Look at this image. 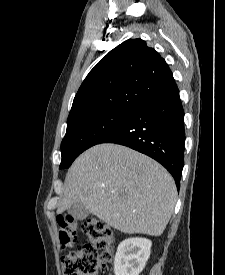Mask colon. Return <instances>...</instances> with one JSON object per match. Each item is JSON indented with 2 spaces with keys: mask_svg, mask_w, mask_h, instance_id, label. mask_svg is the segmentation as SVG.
Wrapping results in <instances>:
<instances>
[{
  "mask_svg": "<svg viewBox=\"0 0 225 275\" xmlns=\"http://www.w3.org/2000/svg\"><path fill=\"white\" fill-rule=\"evenodd\" d=\"M57 222L60 244L64 248L73 246L79 228L78 220L65 215L58 218ZM81 228L90 245L73 249L62 257L63 275H95L112 260L115 236L111 227L97 218H88L82 222Z\"/></svg>",
  "mask_w": 225,
  "mask_h": 275,
  "instance_id": "colon-1",
  "label": "colon"
}]
</instances>
